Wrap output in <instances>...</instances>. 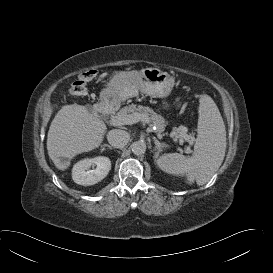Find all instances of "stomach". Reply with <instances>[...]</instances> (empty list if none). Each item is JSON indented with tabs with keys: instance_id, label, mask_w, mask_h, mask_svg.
<instances>
[{
	"instance_id": "0dacf381",
	"label": "stomach",
	"mask_w": 273,
	"mask_h": 273,
	"mask_svg": "<svg viewBox=\"0 0 273 273\" xmlns=\"http://www.w3.org/2000/svg\"><path fill=\"white\" fill-rule=\"evenodd\" d=\"M111 80L113 85L108 86L100 94L101 102L109 107H118L127 99L138 96L139 92L153 98L164 99L170 95L175 84L173 76L158 68L142 69L135 78L119 74Z\"/></svg>"
}]
</instances>
